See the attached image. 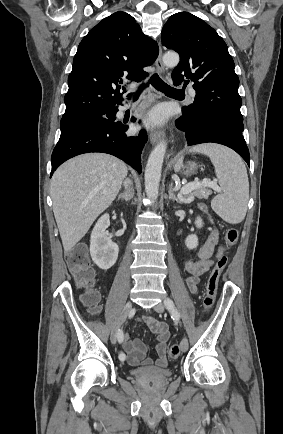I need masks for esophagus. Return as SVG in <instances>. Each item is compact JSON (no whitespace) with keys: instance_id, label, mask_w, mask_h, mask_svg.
I'll list each match as a JSON object with an SVG mask.
<instances>
[{"instance_id":"esophagus-1","label":"esophagus","mask_w":283,"mask_h":434,"mask_svg":"<svg viewBox=\"0 0 283 434\" xmlns=\"http://www.w3.org/2000/svg\"><path fill=\"white\" fill-rule=\"evenodd\" d=\"M155 65H156L157 71L159 73H161V74L164 73L165 67H164V64L162 62V50L161 49L159 51ZM163 137H164V131H162V130L154 131L150 134V141L152 144H155L156 142L161 140Z\"/></svg>"}]
</instances>
